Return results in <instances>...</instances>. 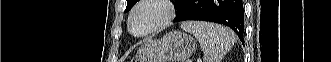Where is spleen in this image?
<instances>
[{
    "label": "spleen",
    "instance_id": "obj_1",
    "mask_svg": "<svg viewBox=\"0 0 331 62\" xmlns=\"http://www.w3.org/2000/svg\"><path fill=\"white\" fill-rule=\"evenodd\" d=\"M181 28L195 36L203 48V62H220L235 42L229 29L204 21H187Z\"/></svg>",
    "mask_w": 331,
    "mask_h": 62
}]
</instances>
